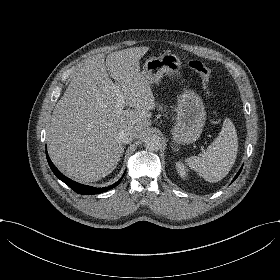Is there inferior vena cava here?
Listing matches in <instances>:
<instances>
[{"mask_svg": "<svg viewBox=\"0 0 280 280\" xmlns=\"http://www.w3.org/2000/svg\"><path fill=\"white\" fill-rule=\"evenodd\" d=\"M135 133L131 131L121 130L118 132L116 139L123 144H129L135 138Z\"/></svg>", "mask_w": 280, "mask_h": 280, "instance_id": "inferior-vena-cava-1", "label": "inferior vena cava"}]
</instances>
